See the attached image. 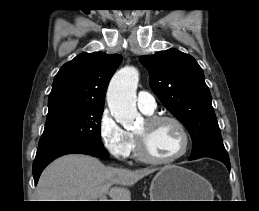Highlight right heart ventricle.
Masks as SVG:
<instances>
[{"instance_id":"obj_1","label":"right heart ventricle","mask_w":259,"mask_h":211,"mask_svg":"<svg viewBox=\"0 0 259 211\" xmlns=\"http://www.w3.org/2000/svg\"><path fill=\"white\" fill-rule=\"evenodd\" d=\"M131 138H132V150L134 152V155L137 156V148H136V140L135 138L133 137L132 134H130Z\"/></svg>"}]
</instances>
